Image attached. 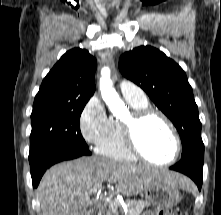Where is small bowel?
Returning a JSON list of instances; mask_svg holds the SVG:
<instances>
[{
	"label": "small bowel",
	"mask_w": 221,
	"mask_h": 215,
	"mask_svg": "<svg viewBox=\"0 0 221 215\" xmlns=\"http://www.w3.org/2000/svg\"><path fill=\"white\" fill-rule=\"evenodd\" d=\"M143 215H155V214L149 211V212L144 213Z\"/></svg>",
	"instance_id": "c3829d8e"
}]
</instances>
